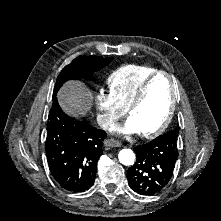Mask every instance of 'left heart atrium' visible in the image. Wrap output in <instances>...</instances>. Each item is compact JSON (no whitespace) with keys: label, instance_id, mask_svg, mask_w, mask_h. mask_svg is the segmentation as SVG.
Returning a JSON list of instances; mask_svg holds the SVG:
<instances>
[{"label":"left heart atrium","instance_id":"obj_1","mask_svg":"<svg viewBox=\"0 0 221 221\" xmlns=\"http://www.w3.org/2000/svg\"><path fill=\"white\" fill-rule=\"evenodd\" d=\"M115 130L121 134H128L131 132H139L138 129L132 124V122L127 123L125 125V127H123V128H116Z\"/></svg>","mask_w":221,"mask_h":221}]
</instances>
